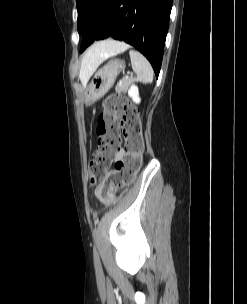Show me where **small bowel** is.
Returning <instances> with one entry per match:
<instances>
[{
    "label": "small bowel",
    "mask_w": 247,
    "mask_h": 304,
    "mask_svg": "<svg viewBox=\"0 0 247 304\" xmlns=\"http://www.w3.org/2000/svg\"><path fill=\"white\" fill-rule=\"evenodd\" d=\"M122 155H123V153H122V152H120V153L118 154V157H119V158H121V157H122Z\"/></svg>",
    "instance_id": "obj_1"
}]
</instances>
